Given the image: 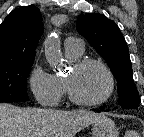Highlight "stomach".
<instances>
[{
	"label": "stomach",
	"instance_id": "obj_1",
	"mask_svg": "<svg viewBox=\"0 0 144 137\" xmlns=\"http://www.w3.org/2000/svg\"><path fill=\"white\" fill-rule=\"evenodd\" d=\"M92 137H119V131L114 122L104 116L95 122L92 128Z\"/></svg>",
	"mask_w": 144,
	"mask_h": 137
}]
</instances>
